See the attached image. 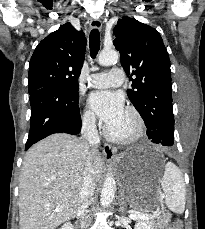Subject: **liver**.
<instances>
[{"label": "liver", "instance_id": "liver-1", "mask_svg": "<svg viewBox=\"0 0 205 229\" xmlns=\"http://www.w3.org/2000/svg\"><path fill=\"white\" fill-rule=\"evenodd\" d=\"M89 144L75 136L53 134L26 153L19 183L20 229H56L78 211ZM95 182L103 158L91 152Z\"/></svg>", "mask_w": 205, "mask_h": 229}]
</instances>
